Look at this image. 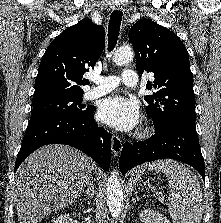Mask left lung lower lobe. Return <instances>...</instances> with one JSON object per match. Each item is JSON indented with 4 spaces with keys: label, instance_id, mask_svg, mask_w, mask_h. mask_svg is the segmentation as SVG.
Wrapping results in <instances>:
<instances>
[{
    "label": "left lung lower lobe",
    "instance_id": "0a47b994",
    "mask_svg": "<svg viewBox=\"0 0 221 223\" xmlns=\"http://www.w3.org/2000/svg\"><path fill=\"white\" fill-rule=\"evenodd\" d=\"M170 158L193 166L205 180L204 161L201 154L195 122L176 120L162 131L140 142L125 143L119 167L123 175L132 167L144 162Z\"/></svg>",
    "mask_w": 221,
    "mask_h": 223
}]
</instances>
